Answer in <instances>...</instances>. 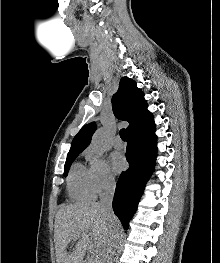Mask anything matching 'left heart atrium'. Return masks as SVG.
Wrapping results in <instances>:
<instances>
[{"label":"left heart atrium","mask_w":220,"mask_h":263,"mask_svg":"<svg viewBox=\"0 0 220 263\" xmlns=\"http://www.w3.org/2000/svg\"><path fill=\"white\" fill-rule=\"evenodd\" d=\"M112 166L116 173H120L126 168V160L124 156L118 152H115L111 156Z\"/></svg>","instance_id":"obj_1"}]
</instances>
